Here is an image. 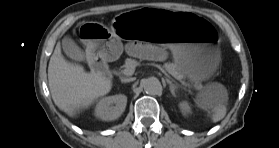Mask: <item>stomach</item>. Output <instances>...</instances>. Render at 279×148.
<instances>
[{
	"label": "stomach",
	"instance_id": "0dacf381",
	"mask_svg": "<svg viewBox=\"0 0 279 148\" xmlns=\"http://www.w3.org/2000/svg\"><path fill=\"white\" fill-rule=\"evenodd\" d=\"M141 41L172 49L182 74L192 82H202L217 68L218 50L224 42L222 26L212 17L172 10L140 9L108 21L89 20L75 33L78 48L105 59L117 58L121 39Z\"/></svg>",
	"mask_w": 279,
	"mask_h": 148
}]
</instances>
